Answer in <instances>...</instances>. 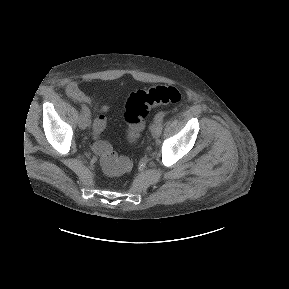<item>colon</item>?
<instances>
[{
    "label": "colon",
    "instance_id": "colon-1",
    "mask_svg": "<svg viewBox=\"0 0 289 289\" xmlns=\"http://www.w3.org/2000/svg\"><path fill=\"white\" fill-rule=\"evenodd\" d=\"M180 100L181 93L173 86L158 85L133 91L128 96L124 109V119L129 128L127 141L131 144L135 142L136 137L144 127L145 117L153 107L161 104H176ZM106 127V118L102 115L97 117L93 124L95 136L98 137L103 133ZM93 147L99 156L104 172L108 175H121L131 170L130 159L119 156L108 142L98 139Z\"/></svg>",
    "mask_w": 289,
    "mask_h": 289
}]
</instances>
